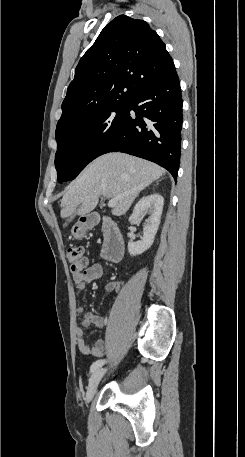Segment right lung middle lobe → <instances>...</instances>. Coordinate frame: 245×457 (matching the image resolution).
I'll use <instances>...</instances> for the list:
<instances>
[{"mask_svg": "<svg viewBox=\"0 0 245 457\" xmlns=\"http://www.w3.org/2000/svg\"><path fill=\"white\" fill-rule=\"evenodd\" d=\"M129 102L115 101L57 126L59 183L75 179L89 162L107 153L129 114Z\"/></svg>", "mask_w": 245, "mask_h": 457, "instance_id": "obj_1", "label": "right lung middle lobe"}]
</instances>
